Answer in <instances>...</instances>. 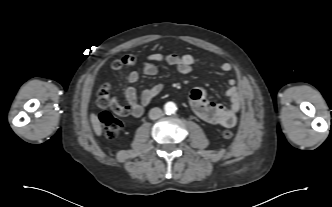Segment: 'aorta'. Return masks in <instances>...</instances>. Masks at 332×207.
Returning <instances> with one entry per match:
<instances>
[{"label":"aorta","mask_w":332,"mask_h":207,"mask_svg":"<svg viewBox=\"0 0 332 207\" xmlns=\"http://www.w3.org/2000/svg\"><path fill=\"white\" fill-rule=\"evenodd\" d=\"M164 110H165V113L167 115H172V114H174L176 112L177 107H176L175 103H173V102H167L164 105Z\"/></svg>","instance_id":"1"}]
</instances>
